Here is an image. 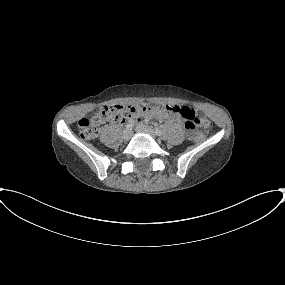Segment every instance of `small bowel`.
Returning <instances> with one entry per match:
<instances>
[{
    "label": "small bowel",
    "mask_w": 285,
    "mask_h": 285,
    "mask_svg": "<svg viewBox=\"0 0 285 285\" xmlns=\"http://www.w3.org/2000/svg\"><path fill=\"white\" fill-rule=\"evenodd\" d=\"M186 109H188V108H186ZM188 110L192 112L191 109H188ZM156 116L159 119H171V120L179 122V123H184L185 119H186L184 111L182 109H180L179 111H176V112L166 110L164 112L156 114ZM130 121L135 122L136 119H131Z\"/></svg>",
    "instance_id": "c3829d8e"
}]
</instances>
